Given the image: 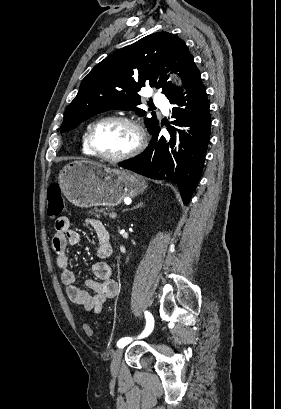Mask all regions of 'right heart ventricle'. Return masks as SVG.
Returning <instances> with one entry per match:
<instances>
[{
  "label": "right heart ventricle",
  "mask_w": 281,
  "mask_h": 409,
  "mask_svg": "<svg viewBox=\"0 0 281 409\" xmlns=\"http://www.w3.org/2000/svg\"><path fill=\"white\" fill-rule=\"evenodd\" d=\"M95 123L96 121H92L87 125L84 131L83 137H82L81 150H82V153L87 156H93V153H92V150L89 144V139H90L92 128L95 125Z\"/></svg>",
  "instance_id": "e07e8e85"
}]
</instances>
